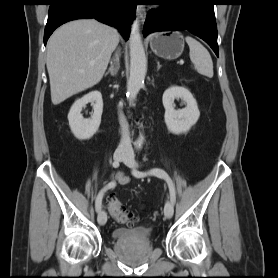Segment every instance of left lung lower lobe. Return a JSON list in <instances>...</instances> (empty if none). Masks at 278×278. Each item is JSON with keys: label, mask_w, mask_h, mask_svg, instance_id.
<instances>
[{"label": "left lung lower lobe", "mask_w": 278, "mask_h": 278, "mask_svg": "<svg viewBox=\"0 0 278 278\" xmlns=\"http://www.w3.org/2000/svg\"><path fill=\"white\" fill-rule=\"evenodd\" d=\"M216 0H158L161 8L148 12L143 35L187 29L207 42L219 56L214 7Z\"/></svg>", "instance_id": "obj_1"}]
</instances>
